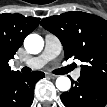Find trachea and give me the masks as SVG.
I'll use <instances>...</instances> for the list:
<instances>
[{"label": "trachea", "instance_id": "3493384b", "mask_svg": "<svg viewBox=\"0 0 107 107\" xmlns=\"http://www.w3.org/2000/svg\"><path fill=\"white\" fill-rule=\"evenodd\" d=\"M71 68H72L71 66L64 67V68H61V69L54 70L53 73L54 74H66V73H68L71 70ZM22 72L23 73L27 72V68L24 67L22 69Z\"/></svg>", "mask_w": 107, "mask_h": 107}]
</instances>
